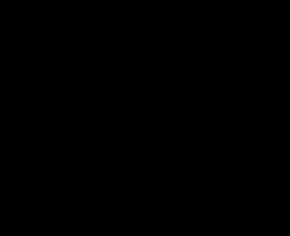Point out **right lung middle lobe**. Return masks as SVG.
I'll use <instances>...</instances> for the list:
<instances>
[{
  "mask_svg": "<svg viewBox=\"0 0 290 236\" xmlns=\"http://www.w3.org/2000/svg\"><path fill=\"white\" fill-rule=\"evenodd\" d=\"M137 58L129 45L84 51L60 74L53 89L52 109L131 110L123 82Z\"/></svg>",
  "mask_w": 290,
  "mask_h": 236,
  "instance_id": "right-lung-middle-lobe-1",
  "label": "right lung middle lobe"
}]
</instances>
